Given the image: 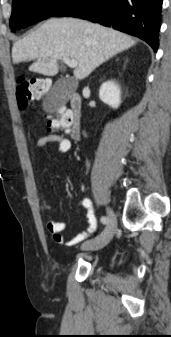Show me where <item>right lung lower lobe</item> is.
<instances>
[{"instance_id":"1","label":"right lung lower lobe","mask_w":171,"mask_h":337,"mask_svg":"<svg viewBox=\"0 0 171 337\" xmlns=\"http://www.w3.org/2000/svg\"><path fill=\"white\" fill-rule=\"evenodd\" d=\"M162 0H75L54 16H72L113 27L159 47Z\"/></svg>"}]
</instances>
